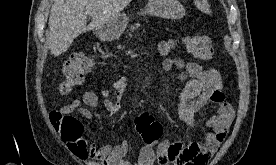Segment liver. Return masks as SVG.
I'll return each instance as SVG.
<instances>
[{"label": "liver", "mask_w": 276, "mask_h": 165, "mask_svg": "<svg viewBox=\"0 0 276 165\" xmlns=\"http://www.w3.org/2000/svg\"><path fill=\"white\" fill-rule=\"evenodd\" d=\"M132 0H55L49 17L47 44L52 55L66 52L81 33L115 18ZM91 23L87 26V16Z\"/></svg>", "instance_id": "obj_1"}]
</instances>
